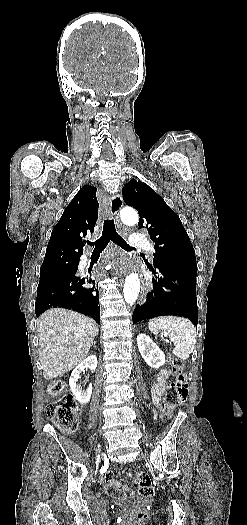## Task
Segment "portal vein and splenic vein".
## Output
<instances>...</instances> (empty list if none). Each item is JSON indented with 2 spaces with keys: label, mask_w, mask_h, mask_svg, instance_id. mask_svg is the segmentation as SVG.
I'll return each mask as SVG.
<instances>
[{
  "label": "portal vein and splenic vein",
  "mask_w": 247,
  "mask_h": 525,
  "mask_svg": "<svg viewBox=\"0 0 247 525\" xmlns=\"http://www.w3.org/2000/svg\"><path fill=\"white\" fill-rule=\"evenodd\" d=\"M164 341H166V343H170V340L169 338H167V335H164ZM79 348H82V345H79Z\"/></svg>",
  "instance_id": "18ae733b"
}]
</instances>
